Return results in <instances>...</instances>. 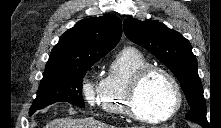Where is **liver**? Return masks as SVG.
Masks as SVG:
<instances>
[{"label": "liver", "instance_id": "obj_1", "mask_svg": "<svg viewBox=\"0 0 221 128\" xmlns=\"http://www.w3.org/2000/svg\"><path fill=\"white\" fill-rule=\"evenodd\" d=\"M45 128H113L93 117L83 119L58 118L46 124Z\"/></svg>", "mask_w": 221, "mask_h": 128}]
</instances>
